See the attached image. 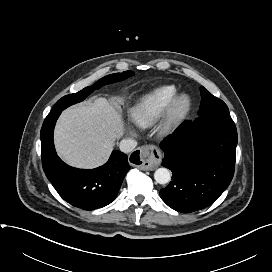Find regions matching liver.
Listing matches in <instances>:
<instances>
[{"label":"liver","mask_w":272,"mask_h":272,"mask_svg":"<svg viewBox=\"0 0 272 272\" xmlns=\"http://www.w3.org/2000/svg\"><path fill=\"white\" fill-rule=\"evenodd\" d=\"M123 133L120 110L99 97L62 112L55 128V147L69 165L91 169L108 160Z\"/></svg>","instance_id":"1"}]
</instances>
